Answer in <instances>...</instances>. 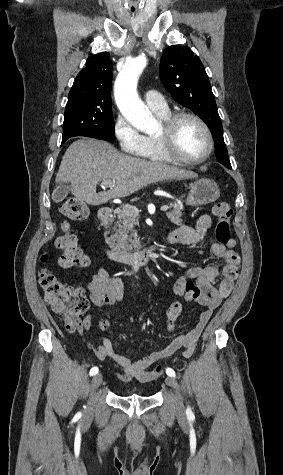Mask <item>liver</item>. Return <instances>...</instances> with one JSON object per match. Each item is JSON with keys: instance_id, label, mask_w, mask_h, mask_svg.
<instances>
[{"instance_id": "liver-1", "label": "liver", "mask_w": 283, "mask_h": 475, "mask_svg": "<svg viewBox=\"0 0 283 475\" xmlns=\"http://www.w3.org/2000/svg\"><path fill=\"white\" fill-rule=\"evenodd\" d=\"M189 178H198V174L132 158L121 154L108 142L85 138L76 140L67 148L55 182L71 184L76 202L100 206L108 200L130 196L148 184ZM103 180H115V184L108 192L97 194L96 186Z\"/></svg>"}]
</instances>
